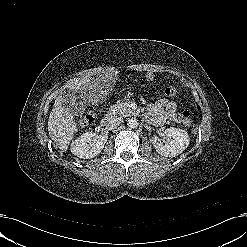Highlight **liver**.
I'll return each mask as SVG.
<instances>
[{"label":"liver","mask_w":247,"mask_h":247,"mask_svg":"<svg viewBox=\"0 0 247 247\" xmlns=\"http://www.w3.org/2000/svg\"><path fill=\"white\" fill-rule=\"evenodd\" d=\"M89 78L90 76L71 79L64 85V88L77 91L89 81ZM48 131L56 147L63 152L67 151L69 143L77 131V123L75 121V114H72L63 106L61 93L56 98L51 110L48 119Z\"/></svg>","instance_id":"6515ba94"}]
</instances>
